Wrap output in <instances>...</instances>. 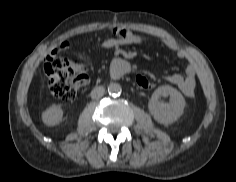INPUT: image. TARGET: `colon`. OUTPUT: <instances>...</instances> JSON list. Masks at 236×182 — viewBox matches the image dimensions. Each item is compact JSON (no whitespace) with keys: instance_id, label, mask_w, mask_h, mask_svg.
I'll use <instances>...</instances> for the list:
<instances>
[{"instance_id":"5ec220e1","label":"colon","mask_w":236,"mask_h":182,"mask_svg":"<svg viewBox=\"0 0 236 182\" xmlns=\"http://www.w3.org/2000/svg\"><path fill=\"white\" fill-rule=\"evenodd\" d=\"M89 59L87 56L76 59H67L58 50L47 56L44 64L45 74L51 94L63 101H72L79 88L87 82ZM136 84L141 89H151L154 84L142 74L135 78Z\"/></svg>"}]
</instances>
